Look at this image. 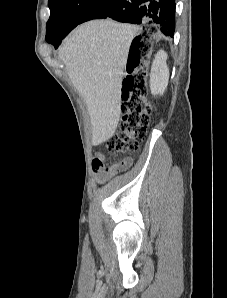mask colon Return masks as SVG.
Segmentation results:
<instances>
[{"label": "colon", "instance_id": "1", "mask_svg": "<svg viewBox=\"0 0 227 298\" xmlns=\"http://www.w3.org/2000/svg\"><path fill=\"white\" fill-rule=\"evenodd\" d=\"M151 48L147 33L133 41L121 89L120 126L107 141V148L112 153L136 152L146 136L151 105L147 99V70L141 66V61Z\"/></svg>", "mask_w": 227, "mask_h": 298}]
</instances>
